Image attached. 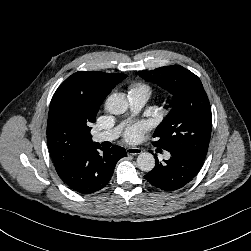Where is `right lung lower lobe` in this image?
<instances>
[{
    "instance_id": "1",
    "label": "right lung lower lobe",
    "mask_w": 251,
    "mask_h": 251,
    "mask_svg": "<svg viewBox=\"0 0 251 251\" xmlns=\"http://www.w3.org/2000/svg\"><path fill=\"white\" fill-rule=\"evenodd\" d=\"M125 156L126 151L120 146L100 148L94 144L82 150L58 175L72 190L92 194L108 184L117 161Z\"/></svg>"
}]
</instances>
